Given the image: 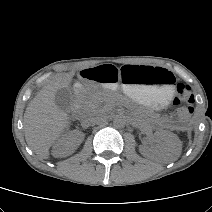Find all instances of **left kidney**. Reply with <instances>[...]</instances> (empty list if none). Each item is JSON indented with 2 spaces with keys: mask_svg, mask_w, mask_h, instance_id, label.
Masks as SVG:
<instances>
[{
  "mask_svg": "<svg viewBox=\"0 0 212 212\" xmlns=\"http://www.w3.org/2000/svg\"><path fill=\"white\" fill-rule=\"evenodd\" d=\"M154 136L161 141L159 151L162 158L167 162L175 161L181 153V142L179 138L174 133L167 130H157ZM139 150L145 157L155 152L153 148L144 145H141Z\"/></svg>",
  "mask_w": 212,
  "mask_h": 212,
  "instance_id": "obj_1",
  "label": "left kidney"
}]
</instances>
